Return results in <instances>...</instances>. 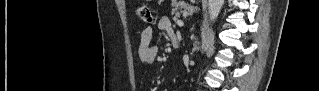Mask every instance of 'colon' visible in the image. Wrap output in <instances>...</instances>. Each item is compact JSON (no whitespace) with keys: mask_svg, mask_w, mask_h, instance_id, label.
Instances as JSON below:
<instances>
[{"mask_svg":"<svg viewBox=\"0 0 319 91\" xmlns=\"http://www.w3.org/2000/svg\"><path fill=\"white\" fill-rule=\"evenodd\" d=\"M136 14H137L138 18L145 23L152 24L154 21V18L151 14V10H150L149 6H147V5L139 6L136 10Z\"/></svg>","mask_w":319,"mask_h":91,"instance_id":"5ec220e1","label":"colon"}]
</instances>
